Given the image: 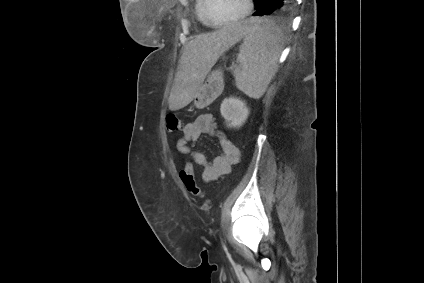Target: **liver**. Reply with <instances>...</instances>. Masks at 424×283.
I'll return each instance as SVG.
<instances>
[{
  "label": "liver",
  "mask_w": 424,
  "mask_h": 283,
  "mask_svg": "<svg viewBox=\"0 0 424 283\" xmlns=\"http://www.w3.org/2000/svg\"><path fill=\"white\" fill-rule=\"evenodd\" d=\"M247 30L246 22L231 23L211 33L197 35L184 45L168 99L170 110L182 109L193 100L219 56L240 41Z\"/></svg>",
  "instance_id": "6515ba94"
}]
</instances>
